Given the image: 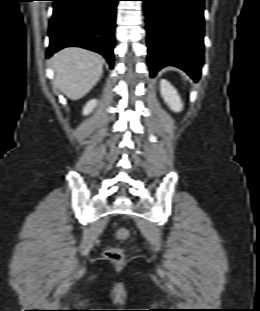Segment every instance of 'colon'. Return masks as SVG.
<instances>
[{"label":"colon","instance_id":"obj_1","mask_svg":"<svg viewBox=\"0 0 260 311\" xmlns=\"http://www.w3.org/2000/svg\"><path fill=\"white\" fill-rule=\"evenodd\" d=\"M116 236L120 239H127L129 237V231L126 228H118ZM104 255L106 258L117 264L122 263L125 258L124 251L116 247L106 249Z\"/></svg>","mask_w":260,"mask_h":311}]
</instances>
